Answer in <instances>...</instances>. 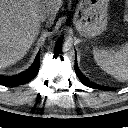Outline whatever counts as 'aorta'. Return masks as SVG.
<instances>
[{
  "instance_id": "aorta-1",
  "label": "aorta",
  "mask_w": 128,
  "mask_h": 128,
  "mask_svg": "<svg viewBox=\"0 0 128 128\" xmlns=\"http://www.w3.org/2000/svg\"><path fill=\"white\" fill-rule=\"evenodd\" d=\"M73 41L70 37H66L64 38L63 42H62V49L63 50H69L72 47Z\"/></svg>"
}]
</instances>
